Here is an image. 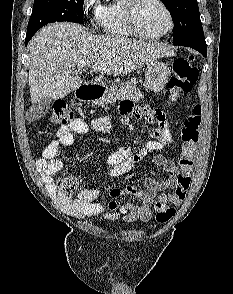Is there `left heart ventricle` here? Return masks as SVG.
I'll return each instance as SVG.
<instances>
[{
  "instance_id": "1",
  "label": "left heart ventricle",
  "mask_w": 233,
  "mask_h": 294,
  "mask_svg": "<svg viewBox=\"0 0 233 294\" xmlns=\"http://www.w3.org/2000/svg\"><path fill=\"white\" fill-rule=\"evenodd\" d=\"M137 19L141 29L148 34H160L169 25L164 9L155 0H143L137 11Z\"/></svg>"
}]
</instances>
